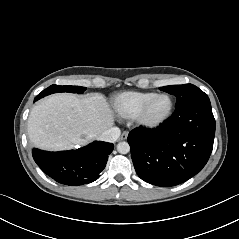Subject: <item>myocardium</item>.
I'll return each mask as SVG.
<instances>
[{
  "label": "myocardium",
  "mask_w": 239,
  "mask_h": 239,
  "mask_svg": "<svg viewBox=\"0 0 239 239\" xmlns=\"http://www.w3.org/2000/svg\"><path fill=\"white\" fill-rule=\"evenodd\" d=\"M165 97L168 100V108L166 112L159 118L152 119L148 116V111L152 103L158 98ZM174 103L169 94L166 93H158L151 96L147 99L144 104L141 106L137 114L135 115L136 122L147 129H155L162 126L165 122L169 120L173 113Z\"/></svg>",
  "instance_id": "f54148a6"
}]
</instances>
